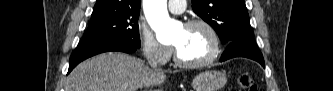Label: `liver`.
Here are the masks:
<instances>
[{
  "label": "liver",
  "mask_w": 333,
  "mask_h": 91,
  "mask_svg": "<svg viewBox=\"0 0 333 91\" xmlns=\"http://www.w3.org/2000/svg\"><path fill=\"white\" fill-rule=\"evenodd\" d=\"M165 79L138 58L110 52L80 63L67 77L65 91H137L160 86Z\"/></svg>",
  "instance_id": "obj_1"
}]
</instances>
